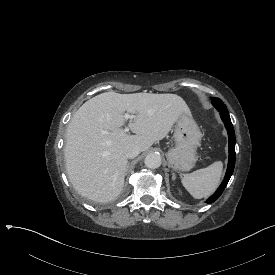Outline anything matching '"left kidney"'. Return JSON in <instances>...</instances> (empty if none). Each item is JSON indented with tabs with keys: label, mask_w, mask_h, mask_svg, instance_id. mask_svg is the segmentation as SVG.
<instances>
[{
	"label": "left kidney",
	"mask_w": 275,
	"mask_h": 275,
	"mask_svg": "<svg viewBox=\"0 0 275 275\" xmlns=\"http://www.w3.org/2000/svg\"><path fill=\"white\" fill-rule=\"evenodd\" d=\"M176 190H177V193L180 195V196H183V190H182V188L180 187V186H176Z\"/></svg>",
	"instance_id": "1"
}]
</instances>
